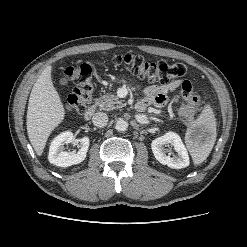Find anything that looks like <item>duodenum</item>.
<instances>
[{"label":"duodenum","mask_w":247,"mask_h":247,"mask_svg":"<svg viewBox=\"0 0 247 247\" xmlns=\"http://www.w3.org/2000/svg\"><path fill=\"white\" fill-rule=\"evenodd\" d=\"M146 108H147V105L143 101H140V102L136 103V105H135V109L139 112L144 111ZM95 112H96V107L94 105H91L90 107H88L86 109V111L84 113V118L86 120H90L93 117V115L95 114Z\"/></svg>","instance_id":"1"}]
</instances>
